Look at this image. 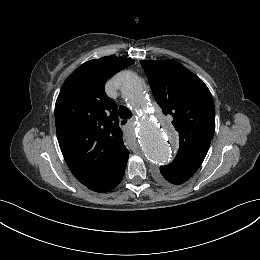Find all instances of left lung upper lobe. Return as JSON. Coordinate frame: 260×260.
Returning a JSON list of instances; mask_svg holds the SVG:
<instances>
[{"mask_svg": "<svg viewBox=\"0 0 260 260\" xmlns=\"http://www.w3.org/2000/svg\"><path fill=\"white\" fill-rule=\"evenodd\" d=\"M157 103L179 133V150L166 171L194 174L208 152L215 131V109L205 83L173 59L140 61Z\"/></svg>", "mask_w": 260, "mask_h": 260, "instance_id": "1", "label": "left lung upper lobe"}]
</instances>
